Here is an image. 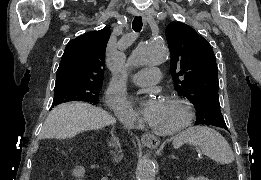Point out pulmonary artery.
Masks as SVG:
<instances>
[{
  "label": "pulmonary artery",
  "mask_w": 261,
  "mask_h": 180,
  "mask_svg": "<svg viewBox=\"0 0 261 180\" xmlns=\"http://www.w3.org/2000/svg\"><path fill=\"white\" fill-rule=\"evenodd\" d=\"M160 78V69H141L131 76V81L137 84L138 89H153V82Z\"/></svg>",
  "instance_id": "pulmonary-artery-1"
}]
</instances>
